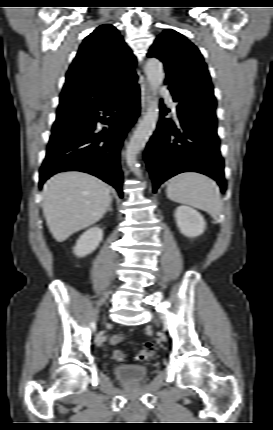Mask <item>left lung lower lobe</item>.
Masks as SVG:
<instances>
[{
  "instance_id": "left-lung-lower-lobe-1",
  "label": "left lung lower lobe",
  "mask_w": 273,
  "mask_h": 430,
  "mask_svg": "<svg viewBox=\"0 0 273 430\" xmlns=\"http://www.w3.org/2000/svg\"><path fill=\"white\" fill-rule=\"evenodd\" d=\"M178 109V120L164 118L168 110L160 107V121L146 146L145 160L153 180V191L170 177L187 171L205 174L226 190L224 161L220 154L216 120L200 119Z\"/></svg>"
}]
</instances>
